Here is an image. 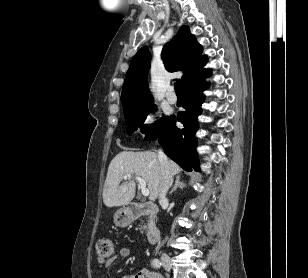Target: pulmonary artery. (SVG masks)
<instances>
[{
	"label": "pulmonary artery",
	"instance_id": "1",
	"mask_svg": "<svg viewBox=\"0 0 308 278\" xmlns=\"http://www.w3.org/2000/svg\"><path fill=\"white\" fill-rule=\"evenodd\" d=\"M166 99L168 100L169 103L174 104L177 101V96L174 93L173 87H169L166 93Z\"/></svg>",
	"mask_w": 308,
	"mask_h": 278
}]
</instances>
